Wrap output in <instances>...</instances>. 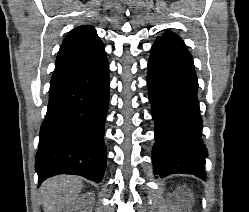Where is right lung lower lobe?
Masks as SVG:
<instances>
[{"instance_id": "98d812e1", "label": "right lung lower lobe", "mask_w": 249, "mask_h": 212, "mask_svg": "<svg viewBox=\"0 0 249 212\" xmlns=\"http://www.w3.org/2000/svg\"><path fill=\"white\" fill-rule=\"evenodd\" d=\"M109 97L106 54L86 67L51 79L36 154L39 183L57 174L102 181L107 158L103 137Z\"/></svg>"}]
</instances>
